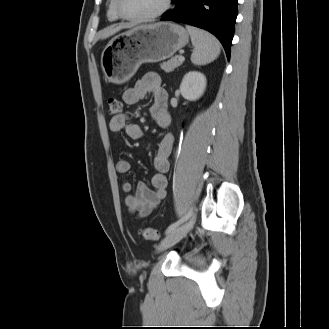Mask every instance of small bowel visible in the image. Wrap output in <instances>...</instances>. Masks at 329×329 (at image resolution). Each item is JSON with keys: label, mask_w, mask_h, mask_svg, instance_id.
<instances>
[{"label": "small bowel", "mask_w": 329, "mask_h": 329, "mask_svg": "<svg viewBox=\"0 0 329 329\" xmlns=\"http://www.w3.org/2000/svg\"><path fill=\"white\" fill-rule=\"evenodd\" d=\"M148 94H151L153 99L152 105L149 108L150 117L160 127L169 126L168 94L162 87L161 79L157 73H147L133 87L124 91L122 99L127 105H135ZM108 126L111 132L121 133L124 131L133 140H140L143 137L141 126L137 123L129 122L128 115L125 113L113 116L109 120ZM173 144L174 138L172 134L164 135L158 144L157 153L154 158L156 173L151 180L153 189H150L143 183H139L135 191L132 192V181H123L122 189L127 193L125 203L131 213H137L140 217H145L164 199L167 186L166 173L170 170L171 166L170 157ZM130 167V162L126 159H120L116 164V169L121 174L128 173Z\"/></svg>", "instance_id": "1"}]
</instances>
